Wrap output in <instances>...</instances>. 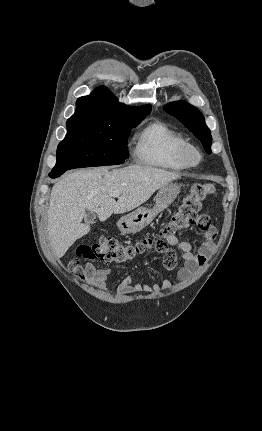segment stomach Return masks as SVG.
Listing matches in <instances>:
<instances>
[{"label": "stomach", "instance_id": "obj_1", "mask_svg": "<svg viewBox=\"0 0 262 431\" xmlns=\"http://www.w3.org/2000/svg\"><path fill=\"white\" fill-rule=\"evenodd\" d=\"M181 187L177 183L162 186L154 198V207H139L135 211L122 216L118 222V229L124 234L136 233L148 226L158 213L166 209L177 198Z\"/></svg>", "mask_w": 262, "mask_h": 431}]
</instances>
